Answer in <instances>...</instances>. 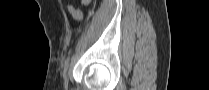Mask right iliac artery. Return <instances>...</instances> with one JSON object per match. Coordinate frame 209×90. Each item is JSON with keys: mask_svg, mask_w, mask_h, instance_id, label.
<instances>
[{"mask_svg": "<svg viewBox=\"0 0 209 90\" xmlns=\"http://www.w3.org/2000/svg\"><path fill=\"white\" fill-rule=\"evenodd\" d=\"M68 63H69V58H67V59L65 60V66H66V67L68 66Z\"/></svg>", "mask_w": 209, "mask_h": 90, "instance_id": "obj_1", "label": "right iliac artery"}]
</instances>
